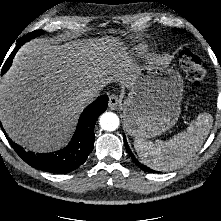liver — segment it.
Returning <instances> with one entry per match:
<instances>
[{
    "label": "liver",
    "mask_w": 221,
    "mask_h": 221,
    "mask_svg": "<svg viewBox=\"0 0 221 221\" xmlns=\"http://www.w3.org/2000/svg\"><path fill=\"white\" fill-rule=\"evenodd\" d=\"M78 46L37 39L17 52L0 85V120L16 143L34 151L62 146L85 105L78 101L80 92L101 90L114 80L112 73L133 81L103 70L104 53L93 50L99 48Z\"/></svg>",
    "instance_id": "6515ba94"
}]
</instances>
